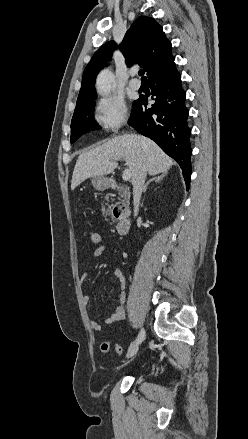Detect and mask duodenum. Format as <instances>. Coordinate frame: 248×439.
<instances>
[{
    "instance_id": "obj_1",
    "label": "duodenum",
    "mask_w": 248,
    "mask_h": 439,
    "mask_svg": "<svg viewBox=\"0 0 248 439\" xmlns=\"http://www.w3.org/2000/svg\"><path fill=\"white\" fill-rule=\"evenodd\" d=\"M112 188L116 189L117 185L112 184ZM115 218L117 219L116 231L118 234L126 233L130 228V218L127 209L123 205H116L113 209Z\"/></svg>"
}]
</instances>
